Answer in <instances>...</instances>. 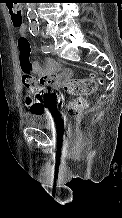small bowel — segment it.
Here are the masks:
<instances>
[{
  "label": "small bowel",
  "mask_w": 122,
  "mask_h": 218,
  "mask_svg": "<svg viewBox=\"0 0 122 218\" xmlns=\"http://www.w3.org/2000/svg\"><path fill=\"white\" fill-rule=\"evenodd\" d=\"M26 31L25 25H22L21 28H19V34L26 35ZM32 71L36 74L38 81L41 84L55 89L62 88L66 81L72 76L71 69L63 68L61 64L52 59H46L42 64L37 62L33 63Z\"/></svg>",
  "instance_id": "1"
}]
</instances>
